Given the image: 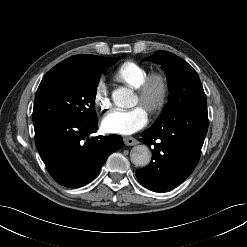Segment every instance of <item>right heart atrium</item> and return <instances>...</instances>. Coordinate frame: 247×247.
Masks as SVG:
<instances>
[{"instance_id":"d8ad5b80","label":"right heart atrium","mask_w":247,"mask_h":247,"mask_svg":"<svg viewBox=\"0 0 247 247\" xmlns=\"http://www.w3.org/2000/svg\"><path fill=\"white\" fill-rule=\"evenodd\" d=\"M93 100L95 106L99 110L104 111L109 108L110 106L109 90L104 79H100L96 83Z\"/></svg>"}]
</instances>
